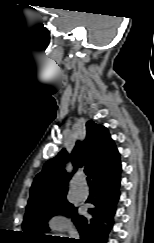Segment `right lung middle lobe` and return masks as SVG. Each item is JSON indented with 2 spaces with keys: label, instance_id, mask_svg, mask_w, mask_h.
Returning <instances> with one entry per match:
<instances>
[{
  "label": "right lung middle lobe",
  "instance_id": "1",
  "mask_svg": "<svg viewBox=\"0 0 154 243\" xmlns=\"http://www.w3.org/2000/svg\"><path fill=\"white\" fill-rule=\"evenodd\" d=\"M76 213L77 208L66 197L28 208L22 224L24 236L28 239L47 238L48 236L41 233L49 231L48 220L51 217L58 214L71 217Z\"/></svg>",
  "mask_w": 154,
  "mask_h": 243
}]
</instances>
